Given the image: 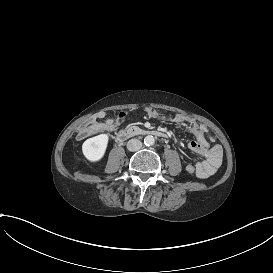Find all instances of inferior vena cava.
Instances as JSON below:
<instances>
[{
	"label": "inferior vena cava",
	"mask_w": 273,
	"mask_h": 273,
	"mask_svg": "<svg viewBox=\"0 0 273 273\" xmlns=\"http://www.w3.org/2000/svg\"><path fill=\"white\" fill-rule=\"evenodd\" d=\"M129 151H138L142 148V142L138 139H130L127 143Z\"/></svg>",
	"instance_id": "1"
}]
</instances>
